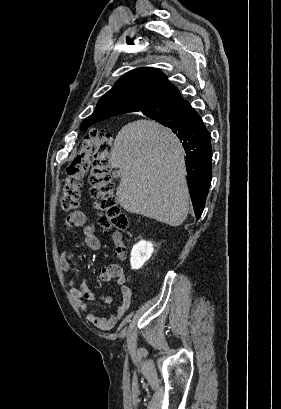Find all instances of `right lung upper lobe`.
<instances>
[{"instance_id":"obj_1","label":"right lung upper lobe","mask_w":281,"mask_h":409,"mask_svg":"<svg viewBox=\"0 0 281 409\" xmlns=\"http://www.w3.org/2000/svg\"><path fill=\"white\" fill-rule=\"evenodd\" d=\"M183 101L179 90L157 69L142 67L122 76L99 100L95 111L81 124L91 125L112 116L128 112L157 110Z\"/></svg>"}]
</instances>
